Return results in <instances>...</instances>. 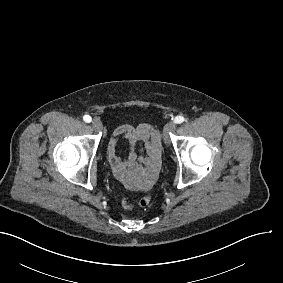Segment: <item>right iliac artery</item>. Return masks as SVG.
<instances>
[{"label": "right iliac artery", "instance_id": "right-iliac-artery-1", "mask_svg": "<svg viewBox=\"0 0 283 283\" xmlns=\"http://www.w3.org/2000/svg\"><path fill=\"white\" fill-rule=\"evenodd\" d=\"M83 119H84V121H85L86 123H89V122H91V120H92V118H91L89 115H85V116L83 117Z\"/></svg>", "mask_w": 283, "mask_h": 283}]
</instances>
